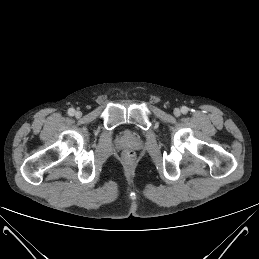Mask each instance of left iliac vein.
Wrapping results in <instances>:
<instances>
[{
  "mask_svg": "<svg viewBox=\"0 0 259 259\" xmlns=\"http://www.w3.org/2000/svg\"><path fill=\"white\" fill-rule=\"evenodd\" d=\"M180 114H181L180 109L175 108V109H174V115L178 117V116H180Z\"/></svg>",
  "mask_w": 259,
  "mask_h": 259,
  "instance_id": "4c4485c4",
  "label": "left iliac vein"
}]
</instances>
